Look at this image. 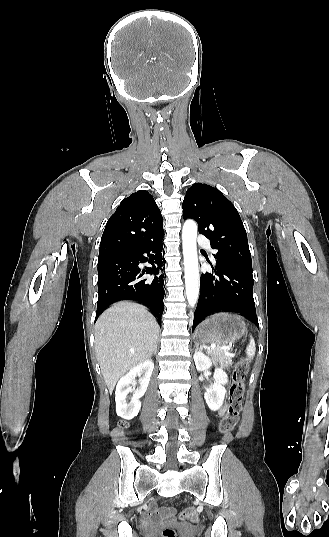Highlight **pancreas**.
Masks as SVG:
<instances>
[{
  "label": "pancreas",
  "instance_id": "cf45deb5",
  "mask_svg": "<svg viewBox=\"0 0 329 537\" xmlns=\"http://www.w3.org/2000/svg\"><path fill=\"white\" fill-rule=\"evenodd\" d=\"M208 355L211 357L214 363H220L222 366L232 365L231 356L226 355L220 349H215L214 351H208Z\"/></svg>",
  "mask_w": 329,
  "mask_h": 537
}]
</instances>
